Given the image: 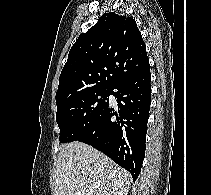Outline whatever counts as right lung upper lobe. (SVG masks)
Segmentation results:
<instances>
[{"instance_id":"cb5924a9","label":"right lung upper lobe","mask_w":211,"mask_h":195,"mask_svg":"<svg viewBox=\"0 0 211 195\" xmlns=\"http://www.w3.org/2000/svg\"><path fill=\"white\" fill-rule=\"evenodd\" d=\"M149 67L136 21L109 12L72 46L61 71L56 104L76 95L112 88L121 78Z\"/></svg>"}]
</instances>
